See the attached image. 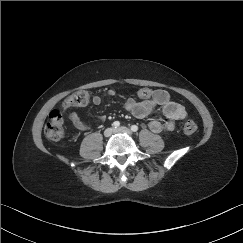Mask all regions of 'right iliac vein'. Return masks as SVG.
I'll return each instance as SVG.
<instances>
[{
	"instance_id": "obj_1",
	"label": "right iliac vein",
	"mask_w": 243,
	"mask_h": 243,
	"mask_svg": "<svg viewBox=\"0 0 243 243\" xmlns=\"http://www.w3.org/2000/svg\"><path fill=\"white\" fill-rule=\"evenodd\" d=\"M113 132H114V129H113V128H107V129L105 130V132H104V135H105L106 137H109V136L112 135Z\"/></svg>"
}]
</instances>
